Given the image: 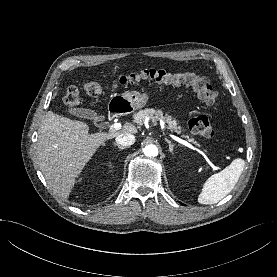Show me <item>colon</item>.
<instances>
[{"label": "colon", "mask_w": 277, "mask_h": 277, "mask_svg": "<svg viewBox=\"0 0 277 277\" xmlns=\"http://www.w3.org/2000/svg\"><path fill=\"white\" fill-rule=\"evenodd\" d=\"M142 80L188 87L201 101L210 107H215L218 102V92L205 77L193 72L175 73L165 68H149L121 74L112 82L110 87L117 88ZM83 89L89 96H98L103 93L105 87L97 82H87L84 84ZM79 100V88L75 83H72L66 90L64 103L69 109H74L79 104ZM189 128L194 134L202 137H212L217 132L208 115H198L190 119Z\"/></svg>", "instance_id": "1"}]
</instances>
